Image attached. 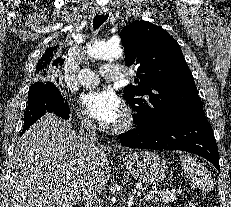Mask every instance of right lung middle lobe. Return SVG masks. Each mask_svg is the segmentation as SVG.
<instances>
[{
	"mask_svg": "<svg viewBox=\"0 0 231 207\" xmlns=\"http://www.w3.org/2000/svg\"><path fill=\"white\" fill-rule=\"evenodd\" d=\"M43 85H44L43 83H35L31 85V87L29 88L28 102L31 101L35 97L36 89L42 87Z\"/></svg>",
	"mask_w": 231,
	"mask_h": 207,
	"instance_id": "1",
	"label": "right lung middle lobe"
}]
</instances>
